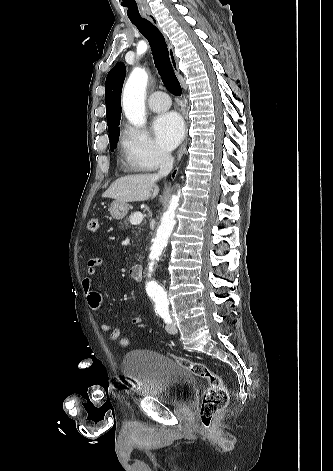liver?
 <instances>
[{
  "instance_id": "liver-1",
  "label": "liver",
  "mask_w": 333,
  "mask_h": 471,
  "mask_svg": "<svg viewBox=\"0 0 333 471\" xmlns=\"http://www.w3.org/2000/svg\"><path fill=\"white\" fill-rule=\"evenodd\" d=\"M156 174H138L120 177L103 193V197L121 202L146 201L159 193Z\"/></svg>"
}]
</instances>
